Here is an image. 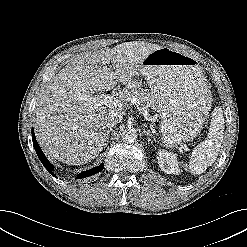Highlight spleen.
Here are the masks:
<instances>
[{"label":"spleen","mask_w":247,"mask_h":247,"mask_svg":"<svg viewBox=\"0 0 247 247\" xmlns=\"http://www.w3.org/2000/svg\"><path fill=\"white\" fill-rule=\"evenodd\" d=\"M224 129L223 112L221 108L216 107L212 113L207 139L193 149L191 160L188 164V169L191 173L200 175L215 162L220 151ZM184 166H187V164H184Z\"/></svg>","instance_id":"spleen-1"}]
</instances>
